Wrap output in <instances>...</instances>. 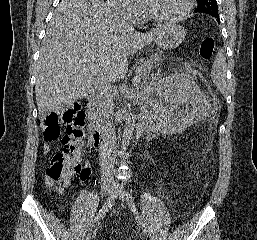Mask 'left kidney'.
<instances>
[{"mask_svg":"<svg viewBox=\"0 0 257 240\" xmlns=\"http://www.w3.org/2000/svg\"><path fill=\"white\" fill-rule=\"evenodd\" d=\"M148 117L161 133H181L205 116V98L183 74L152 83L146 96Z\"/></svg>","mask_w":257,"mask_h":240,"instance_id":"1","label":"left kidney"}]
</instances>
